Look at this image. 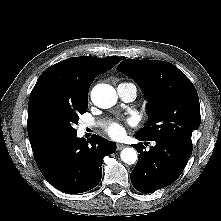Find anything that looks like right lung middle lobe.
Instances as JSON below:
<instances>
[{
	"mask_svg": "<svg viewBox=\"0 0 221 221\" xmlns=\"http://www.w3.org/2000/svg\"><path fill=\"white\" fill-rule=\"evenodd\" d=\"M87 108L88 101L45 100L38 112L39 124L44 135L50 141L76 135L73 126L78 123V116L85 113Z\"/></svg>",
	"mask_w": 221,
	"mask_h": 221,
	"instance_id": "obj_1",
	"label": "right lung middle lobe"
}]
</instances>
